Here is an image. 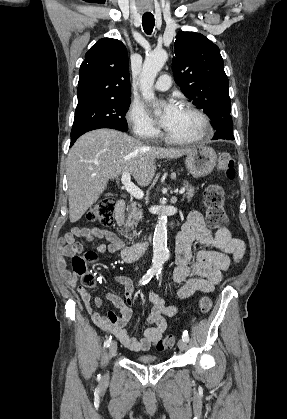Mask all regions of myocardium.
<instances>
[{"label": "myocardium", "instance_id": "f54148a6", "mask_svg": "<svg viewBox=\"0 0 287 419\" xmlns=\"http://www.w3.org/2000/svg\"><path fill=\"white\" fill-rule=\"evenodd\" d=\"M182 108L188 110L199 119L202 126V132L199 135L192 138H178V137H174L170 135L167 131H165L164 132L165 139L168 142L173 143V144L191 145V144L200 143L210 138L212 136L213 131H212V126L208 117L200 109H198L196 106H194L191 103H184L182 105Z\"/></svg>", "mask_w": 287, "mask_h": 419}]
</instances>
